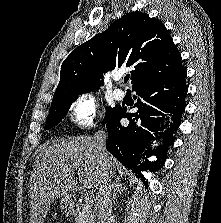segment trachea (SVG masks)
Masks as SVG:
<instances>
[{"mask_svg":"<svg viewBox=\"0 0 221 223\" xmlns=\"http://www.w3.org/2000/svg\"><path fill=\"white\" fill-rule=\"evenodd\" d=\"M128 80H129V75H126V76L124 77V82L126 83V82H128Z\"/></svg>","mask_w":221,"mask_h":223,"instance_id":"obj_1","label":"trachea"}]
</instances>
